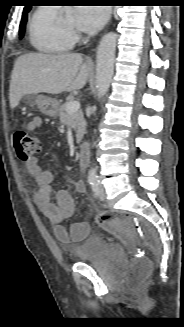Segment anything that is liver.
Masks as SVG:
<instances>
[{
  "label": "liver",
  "instance_id": "obj_1",
  "mask_svg": "<svg viewBox=\"0 0 184 327\" xmlns=\"http://www.w3.org/2000/svg\"><path fill=\"white\" fill-rule=\"evenodd\" d=\"M88 77L89 67L78 53L21 55L11 75L10 107H17L24 95L78 91L86 85Z\"/></svg>",
  "mask_w": 184,
  "mask_h": 327
}]
</instances>
